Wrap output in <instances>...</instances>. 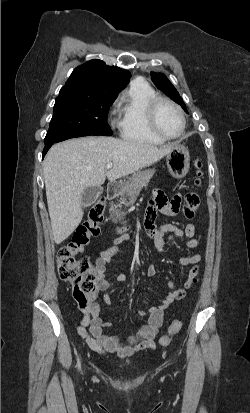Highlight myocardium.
<instances>
[{"label":"myocardium","mask_w":250,"mask_h":413,"mask_svg":"<svg viewBox=\"0 0 250 413\" xmlns=\"http://www.w3.org/2000/svg\"><path fill=\"white\" fill-rule=\"evenodd\" d=\"M163 103H166L172 106L180 115V118L182 120V127H181V131L177 135H167L163 133L157 125V112H158L160 105ZM147 123H148V127L151 133L157 138L162 139L164 141L175 140V139L180 138L186 129V117H185V114L182 108L173 100L166 98V97H162V96H156L150 101L148 108H147Z\"/></svg>","instance_id":"obj_1"}]
</instances>
